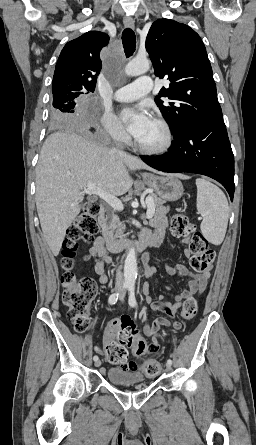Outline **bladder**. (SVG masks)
<instances>
[{"label":"bladder","mask_w":256,"mask_h":445,"mask_svg":"<svg viewBox=\"0 0 256 445\" xmlns=\"http://www.w3.org/2000/svg\"><path fill=\"white\" fill-rule=\"evenodd\" d=\"M110 382L116 385H145L144 375L135 370L110 368L107 372Z\"/></svg>","instance_id":"bladder-1"}]
</instances>
